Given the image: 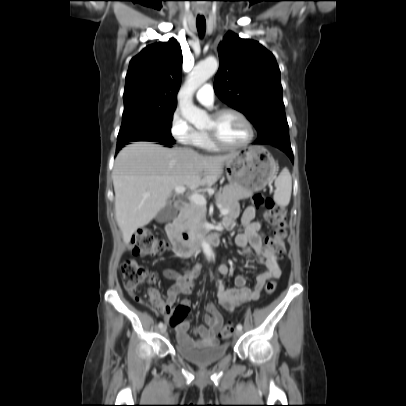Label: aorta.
Segmentation results:
<instances>
[{
    "instance_id": "1",
    "label": "aorta",
    "mask_w": 406,
    "mask_h": 406,
    "mask_svg": "<svg viewBox=\"0 0 406 406\" xmlns=\"http://www.w3.org/2000/svg\"><path fill=\"white\" fill-rule=\"evenodd\" d=\"M218 67L219 63L214 57H209L198 63L188 75L186 83L179 93L182 116L196 128L205 126L209 118L204 110L197 108L193 104L192 95L216 73ZM201 247L207 259L210 260L213 257V250L210 244L204 239H201Z\"/></svg>"
}]
</instances>
